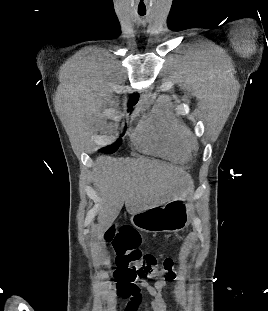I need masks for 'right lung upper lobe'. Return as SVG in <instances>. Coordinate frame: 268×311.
<instances>
[{"mask_svg":"<svg viewBox=\"0 0 268 311\" xmlns=\"http://www.w3.org/2000/svg\"><path fill=\"white\" fill-rule=\"evenodd\" d=\"M138 101V94H133L129 100V109H132V106Z\"/></svg>","mask_w":268,"mask_h":311,"instance_id":"obj_1","label":"right lung upper lobe"}]
</instances>
